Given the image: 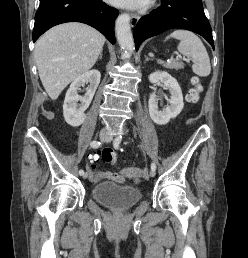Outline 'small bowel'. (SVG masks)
I'll return each instance as SVG.
<instances>
[{
    "label": "small bowel",
    "mask_w": 248,
    "mask_h": 258,
    "mask_svg": "<svg viewBox=\"0 0 248 258\" xmlns=\"http://www.w3.org/2000/svg\"><path fill=\"white\" fill-rule=\"evenodd\" d=\"M91 176L93 181L95 182H101L106 179L114 180L118 183L124 182L123 176L117 172H103V173L98 172L97 175H91Z\"/></svg>",
    "instance_id": "small-bowel-1"
}]
</instances>
